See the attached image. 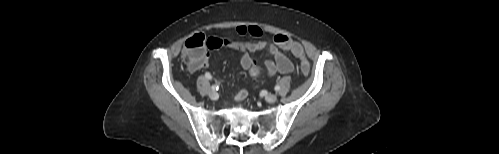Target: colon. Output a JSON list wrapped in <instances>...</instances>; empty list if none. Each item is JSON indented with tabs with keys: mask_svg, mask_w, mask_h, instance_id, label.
Segmentation results:
<instances>
[{
	"mask_svg": "<svg viewBox=\"0 0 499 154\" xmlns=\"http://www.w3.org/2000/svg\"><path fill=\"white\" fill-rule=\"evenodd\" d=\"M274 42L279 47L291 52L299 59L300 71L303 75H307L310 71V64L306 59L304 49L301 44L286 34H277L274 36ZM208 40L203 34H194L188 38L184 44L183 60L190 68L199 67L208 57L207 52ZM259 73V68L254 65L251 69L252 77H256Z\"/></svg>",
	"mask_w": 499,
	"mask_h": 154,
	"instance_id": "1",
	"label": "colon"
}]
</instances>
